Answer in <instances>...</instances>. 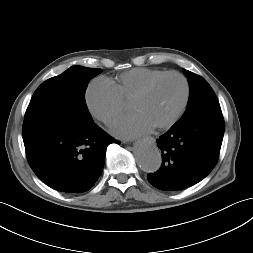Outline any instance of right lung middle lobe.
Wrapping results in <instances>:
<instances>
[{"mask_svg":"<svg viewBox=\"0 0 253 253\" xmlns=\"http://www.w3.org/2000/svg\"><path fill=\"white\" fill-rule=\"evenodd\" d=\"M101 69L72 66L42 83L34 92L23 123V141L53 126L93 122L85 102L90 79Z\"/></svg>","mask_w":253,"mask_h":253,"instance_id":"1","label":"right lung middle lobe"}]
</instances>
